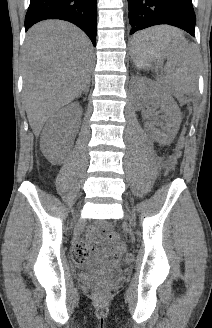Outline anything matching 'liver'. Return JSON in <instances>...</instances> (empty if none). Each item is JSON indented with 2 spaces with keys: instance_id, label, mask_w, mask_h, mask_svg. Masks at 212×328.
<instances>
[{
  "instance_id": "obj_1",
  "label": "liver",
  "mask_w": 212,
  "mask_h": 328,
  "mask_svg": "<svg viewBox=\"0 0 212 328\" xmlns=\"http://www.w3.org/2000/svg\"><path fill=\"white\" fill-rule=\"evenodd\" d=\"M93 47L75 25L42 21L27 33L22 57L26 113L38 136L46 120L90 82Z\"/></svg>"
}]
</instances>
